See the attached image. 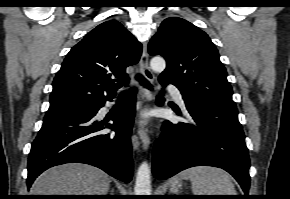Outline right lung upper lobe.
<instances>
[{
  "label": "right lung upper lobe",
  "mask_w": 290,
  "mask_h": 199,
  "mask_svg": "<svg viewBox=\"0 0 290 199\" xmlns=\"http://www.w3.org/2000/svg\"><path fill=\"white\" fill-rule=\"evenodd\" d=\"M141 52L142 45L118 21L98 25L67 54L54 78L45 118L96 107L113 99L128 82L126 67L136 64Z\"/></svg>",
  "instance_id": "obj_1"
}]
</instances>
